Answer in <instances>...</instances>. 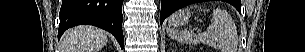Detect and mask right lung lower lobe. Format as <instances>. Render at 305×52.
<instances>
[{
  "label": "right lung lower lobe",
  "instance_id": "98d812e1",
  "mask_svg": "<svg viewBox=\"0 0 305 52\" xmlns=\"http://www.w3.org/2000/svg\"><path fill=\"white\" fill-rule=\"evenodd\" d=\"M122 3L123 0H63L58 38L70 27L88 24L112 33L123 48Z\"/></svg>",
  "mask_w": 305,
  "mask_h": 52
}]
</instances>
